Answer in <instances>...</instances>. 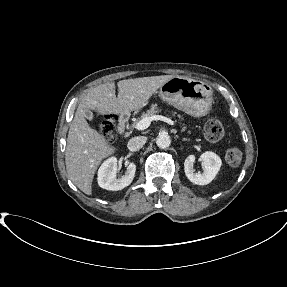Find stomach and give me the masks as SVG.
<instances>
[{"label": "stomach", "instance_id": "stomach-1", "mask_svg": "<svg viewBox=\"0 0 287 287\" xmlns=\"http://www.w3.org/2000/svg\"><path fill=\"white\" fill-rule=\"evenodd\" d=\"M165 102L195 117L206 115L212 106L211 87L200 80L174 76L156 92Z\"/></svg>", "mask_w": 287, "mask_h": 287}]
</instances>
